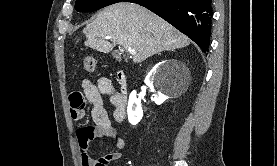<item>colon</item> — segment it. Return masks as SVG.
Masks as SVG:
<instances>
[{"instance_id":"5ec220e1","label":"colon","mask_w":277,"mask_h":166,"mask_svg":"<svg viewBox=\"0 0 277 166\" xmlns=\"http://www.w3.org/2000/svg\"><path fill=\"white\" fill-rule=\"evenodd\" d=\"M96 67V60L92 55H86L83 59V68L87 72H92Z\"/></svg>"}]
</instances>
